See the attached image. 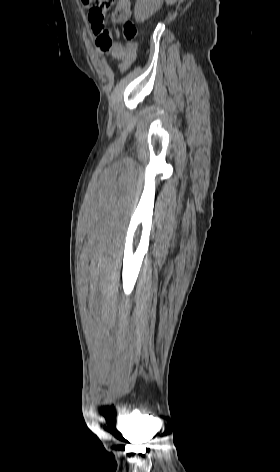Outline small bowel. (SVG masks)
I'll return each instance as SVG.
<instances>
[{
	"mask_svg": "<svg viewBox=\"0 0 280 472\" xmlns=\"http://www.w3.org/2000/svg\"><path fill=\"white\" fill-rule=\"evenodd\" d=\"M84 4H88L82 0ZM131 17V0H118L112 13L114 23H122ZM95 38V44L103 54H110L114 59L122 62L120 72L128 69L134 59V49H130L113 39L111 32L105 25H98L90 22Z\"/></svg>",
	"mask_w": 280,
	"mask_h": 472,
	"instance_id": "1",
	"label": "small bowel"
}]
</instances>
